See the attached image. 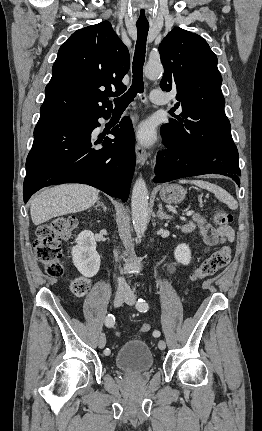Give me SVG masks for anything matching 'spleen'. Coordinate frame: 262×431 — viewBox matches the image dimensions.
Wrapping results in <instances>:
<instances>
[{
	"label": "spleen",
	"instance_id": "obj_1",
	"mask_svg": "<svg viewBox=\"0 0 262 431\" xmlns=\"http://www.w3.org/2000/svg\"><path fill=\"white\" fill-rule=\"evenodd\" d=\"M179 183H182V184L190 183L200 188L206 189L209 192H212L218 200L227 204V206L230 209L236 210L238 208V203L233 198V196H231L226 190L217 186L216 184L203 181V180H185V179L179 180Z\"/></svg>",
	"mask_w": 262,
	"mask_h": 431
}]
</instances>
